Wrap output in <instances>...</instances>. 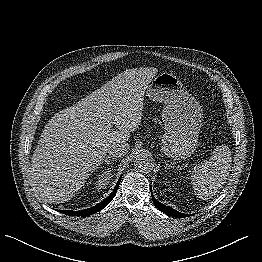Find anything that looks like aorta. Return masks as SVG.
Here are the masks:
<instances>
[{"mask_svg":"<svg viewBox=\"0 0 262 262\" xmlns=\"http://www.w3.org/2000/svg\"><path fill=\"white\" fill-rule=\"evenodd\" d=\"M134 166L136 170L140 172H148L153 168L151 159L145 153L137 155L134 161Z\"/></svg>","mask_w":262,"mask_h":262,"instance_id":"762f6f07","label":"aorta"}]
</instances>
